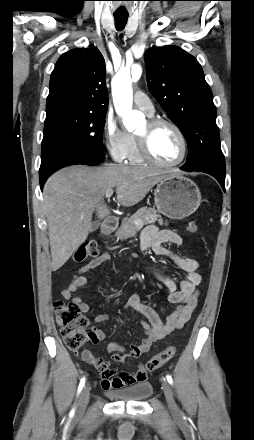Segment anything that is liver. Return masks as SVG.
Returning a JSON list of instances; mask_svg holds the SVG:
<instances>
[{"instance_id": "1", "label": "liver", "mask_w": 254, "mask_h": 440, "mask_svg": "<svg viewBox=\"0 0 254 440\" xmlns=\"http://www.w3.org/2000/svg\"><path fill=\"white\" fill-rule=\"evenodd\" d=\"M167 174L146 167L108 164L74 165L51 175L43 188V210L48 223L52 270L62 267L87 239L94 211L99 218L110 214L103 202L107 191L116 188L118 203L130 207L143 200Z\"/></svg>"}]
</instances>
